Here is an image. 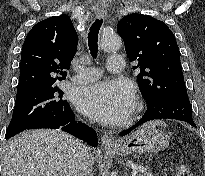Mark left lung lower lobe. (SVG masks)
<instances>
[{
	"mask_svg": "<svg viewBox=\"0 0 205 176\" xmlns=\"http://www.w3.org/2000/svg\"><path fill=\"white\" fill-rule=\"evenodd\" d=\"M147 103V110L142 119L131 128L121 132L120 136H125L138 126L155 119H176L196 127L186 89H171Z\"/></svg>",
	"mask_w": 205,
	"mask_h": 176,
	"instance_id": "1",
	"label": "left lung lower lobe"
}]
</instances>
